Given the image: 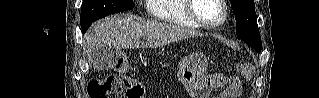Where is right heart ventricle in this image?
Returning a JSON list of instances; mask_svg holds the SVG:
<instances>
[{
  "label": "right heart ventricle",
  "instance_id": "obj_1",
  "mask_svg": "<svg viewBox=\"0 0 319 98\" xmlns=\"http://www.w3.org/2000/svg\"><path fill=\"white\" fill-rule=\"evenodd\" d=\"M147 3L150 14L157 20L198 27L186 14L185 0H148Z\"/></svg>",
  "mask_w": 319,
  "mask_h": 98
}]
</instances>
